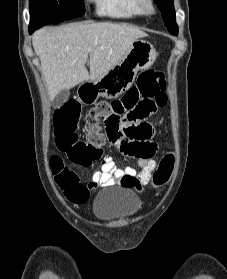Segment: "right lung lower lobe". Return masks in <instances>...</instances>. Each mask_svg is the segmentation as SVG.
Masks as SVG:
<instances>
[{
  "label": "right lung lower lobe",
  "mask_w": 227,
  "mask_h": 279,
  "mask_svg": "<svg viewBox=\"0 0 227 279\" xmlns=\"http://www.w3.org/2000/svg\"><path fill=\"white\" fill-rule=\"evenodd\" d=\"M38 28H40V26H29V33L32 34L35 30H37Z\"/></svg>",
  "instance_id": "98d812e1"
}]
</instances>
